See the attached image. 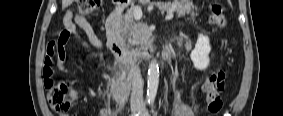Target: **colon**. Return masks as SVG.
I'll return each instance as SVG.
<instances>
[{
	"instance_id": "1",
	"label": "colon",
	"mask_w": 283,
	"mask_h": 116,
	"mask_svg": "<svg viewBox=\"0 0 283 116\" xmlns=\"http://www.w3.org/2000/svg\"><path fill=\"white\" fill-rule=\"evenodd\" d=\"M98 5L99 0H79L78 13L82 16L91 15L96 11ZM210 22L216 30H222L225 27L224 6L220 1L212 3ZM61 34L66 40L67 33L62 32ZM225 78L226 74L223 69H214L205 78L203 90L206 94L208 110L212 114L218 113L223 106L221 94L226 86ZM44 85L48 89L47 100L51 108L60 113L69 110L76 99V91L68 83L55 81L46 75H44Z\"/></svg>"
}]
</instances>
